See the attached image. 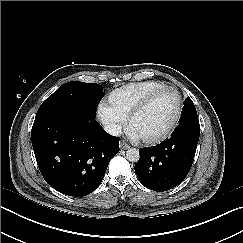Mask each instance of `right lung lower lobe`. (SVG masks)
<instances>
[{
	"label": "right lung lower lobe",
	"instance_id": "1",
	"mask_svg": "<svg viewBox=\"0 0 243 243\" xmlns=\"http://www.w3.org/2000/svg\"><path fill=\"white\" fill-rule=\"evenodd\" d=\"M31 140L45 181L74 197L93 192L119 152V138L108 135L90 113L72 102L38 109Z\"/></svg>",
	"mask_w": 243,
	"mask_h": 243
}]
</instances>
